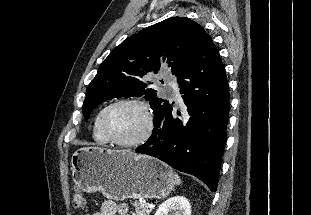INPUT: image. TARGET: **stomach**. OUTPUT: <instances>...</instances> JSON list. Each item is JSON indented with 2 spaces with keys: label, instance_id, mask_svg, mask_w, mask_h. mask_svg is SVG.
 Here are the masks:
<instances>
[{
  "label": "stomach",
  "instance_id": "0dacf381",
  "mask_svg": "<svg viewBox=\"0 0 311 215\" xmlns=\"http://www.w3.org/2000/svg\"><path fill=\"white\" fill-rule=\"evenodd\" d=\"M72 178L82 191L114 200L162 199L175 185L172 170L146 155L102 147H83L71 157Z\"/></svg>",
  "mask_w": 311,
  "mask_h": 215
}]
</instances>
